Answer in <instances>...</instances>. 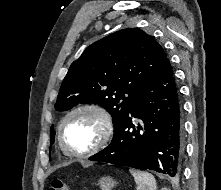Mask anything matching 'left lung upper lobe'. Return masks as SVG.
I'll return each instance as SVG.
<instances>
[{"label":"left lung upper lobe","mask_w":221,"mask_h":190,"mask_svg":"<svg viewBox=\"0 0 221 190\" xmlns=\"http://www.w3.org/2000/svg\"><path fill=\"white\" fill-rule=\"evenodd\" d=\"M166 59L156 40L140 29L117 31L87 47L71 64L55 109L65 111L79 103L98 104L111 114L115 126Z\"/></svg>","instance_id":"1"}]
</instances>
